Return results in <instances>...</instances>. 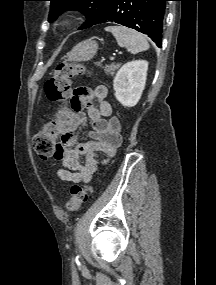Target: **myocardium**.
<instances>
[{
    "mask_svg": "<svg viewBox=\"0 0 216 285\" xmlns=\"http://www.w3.org/2000/svg\"><path fill=\"white\" fill-rule=\"evenodd\" d=\"M74 22H75L74 16L71 14H66V15H63L61 18L58 19V21L56 23V28L58 30L64 31V30L71 28L73 26Z\"/></svg>",
    "mask_w": 216,
    "mask_h": 285,
    "instance_id": "f54148a6",
    "label": "myocardium"
}]
</instances>
